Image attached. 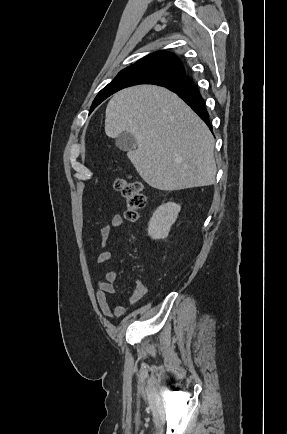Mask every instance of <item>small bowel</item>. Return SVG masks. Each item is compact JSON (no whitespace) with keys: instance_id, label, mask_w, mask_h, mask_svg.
<instances>
[{"instance_id":"small-bowel-1","label":"small bowel","mask_w":287,"mask_h":434,"mask_svg":"<svg viewBox=\"0 0 287 434\" xmlns=\"http://www.w3.org/2000/svg\"><path fill=\"white\" fill-rule=\"evenodd\" d=\"M124 220L120 215H114L108 222H106L100 229V245L102 251L97 257L98 264L107 262L111 253L106 249L107 241L113 231L121 228ZM118 280V274L115 271H107L104 279H97L95 281L96 299L100 311L109 319L123 316L127 312V307L124 305L113 304L109 298L110 295L115 293L114 283ZM146 295V287L142 281H136L134 290L128 299V304H134L140 301Z\"/></svg>"}]
</instances>
